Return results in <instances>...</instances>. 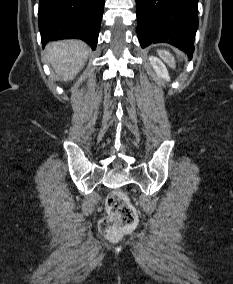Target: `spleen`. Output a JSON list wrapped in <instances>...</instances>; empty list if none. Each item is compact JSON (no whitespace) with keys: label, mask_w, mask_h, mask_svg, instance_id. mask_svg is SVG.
Instances as JSON below:
<instances>
[{"label":"spleen","mask_w":233,"mask_h":284,"mask_svg":"<svg viewBox=\"0 0 233 284\" xmlns=\"http://www.w3.org/2000/svg\"><path fill=\"white\" fill-rule=\"evenodd\" d=\"M158 53H159L160 56H162L165 59H167V61L169 63L174 64L173 58H172L171 54L168 51H166V50H159Z\"/></svg>","instance_id":"1"}]
</instances>
